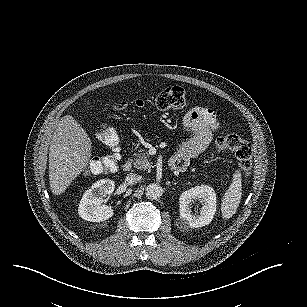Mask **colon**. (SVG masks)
<instances>
[{
  "label": "colon",
  "mask_w": 307,
  "mask_h": 307,
  "mask_svg": "<svg viewBox=\"0 0 307 307\" xmlns=\"http://www.w3.org/2000/svg\"><path fill=\"white\" fill-rule=\"evenodd\" d=\"M134 104L137 107H143L145 102L137 99ZM155 105L160 110L179 109L188 105V99L183 88L179 86H170L161 90L155 98ZM127 106L126 102H119L118 109ZM96 138L106 146L112 153L94 158L88 165L89 173H105L117 168L119 160L120 137L118 132L112 127H102L97 133ZM216 149L218 152H234L239 169L244 176H248L252 167L253 149L250 142L243 140L236 134H227L217 138Z\"/></svg>",
  "instance_id": "5ec220e1"
}]
</instances>
